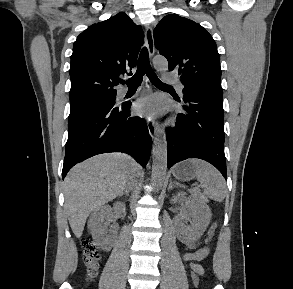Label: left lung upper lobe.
<instances>
[{
    "mask_svg": "<svg viewBox=\"0 0 293 289\" xmlns=\"http://www.w3.org/2000/svg\"><path fill=\"white\" fill-rule=\"evenodd\" d=\"M155 47L176 69L183 93H208L222 98L220 56L212 36L198 23L175 14L154 29Z\"/></svg>",
    "mask_w": 293,
    "mask_h": 289,
    "instance_id": "left-lung-upper-lobe-1",
    "label": "left lung upper lobe"
}]
</instances>
